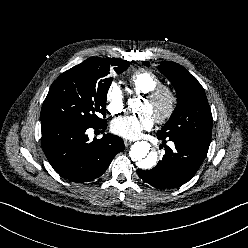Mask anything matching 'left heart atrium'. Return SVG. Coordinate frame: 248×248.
<instances>
[{
  "label": "left heart atrium",
  "mask_w": 248,
  "mask_h": 248,
  "mask_svg": "<svg viewBox=\"0 0 248 248\" xmlns=\"http://www.w3.org/2000/svg\"><path fill=\"white\" fill-rule=\"evenodd\" d=\"M154 118L149 113L127 115L116 118L111 124V130L116 135L127 139H137L143 131L150 130Z\"/></svg>",
  "instance_id": "39dd6f15"
}]
</instances>
